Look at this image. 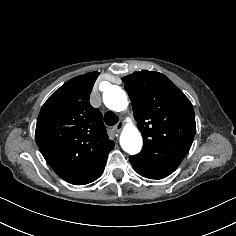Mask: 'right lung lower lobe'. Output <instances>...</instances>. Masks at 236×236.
Returning <instances> with one entry per match:
<instances>
[{
    "mask_svg": "<svg viewBox=\"0 0 236 236\" xmlns=\"http://www.w3.org/2000/svg\"><path fill=\"white\" fill-rule=\"evenodd\" d=\"M106 160L94 172L87 173V174L80 175V176H70V177H66V178H62V179H64L65 181H67L71 184H74V185H84V184L91 183V182L95 181L96 179H98L100 177V175L102 174L105 164H106Z\"/></svg>",
    "mask_w": 236,
    "mask_h": 236,
    "instance_id": "obj_1",
    "label": "right lung lower lobe"
}]
</instances>
